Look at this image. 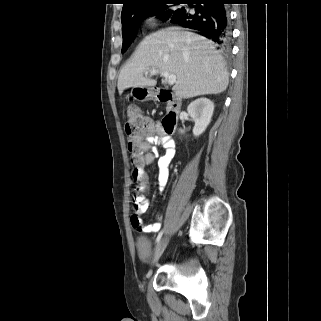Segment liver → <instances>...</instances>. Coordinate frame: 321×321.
Returning a JSON list of instances; mask_svg holds the SVG:
<instances>
[{
    "instance_id": "1",
    "label": "liver",
    "mask_w": 321,
    "mask_h": 321,
    "mask_svg": "<svg viewBox=\"0 0 321 321\" xmlns=\"http://www.w3.org/2000/svg\"><path fill=\"white\" fill-rule=\"evenodd\" d=\"M151 70L176 76L172 90L181 98L219 94L228 86V72L215 44L198 34L169 27L146 36L118 77V91L150 87L156 80Z\"/></svg>"
}]
</instances>
